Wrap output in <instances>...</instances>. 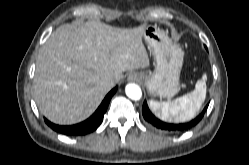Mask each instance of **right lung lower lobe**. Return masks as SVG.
Returning a JSON list of instances; mask_svg holds the SVG:
<instances>
[{"label":"right lung lower lobe","mask_w":249,"mask_h":165,"mask_svg":"<svg viewBox=\"0 0 249 165\" xmlns=\"http://www.w3.org/2000/svg\"><path fill=\"white\" fill-rule=\"evenodd\" d=\"M117 88L112 89L104 98L98 109L95 111V113L88 118L87 120L71 126H59L51 123L47 119H45V122L48 124L49 127H51L54 131L58 133H62L68 136H76V135H85L90 132H93L98 128V126L101 124L104 114L107 110V107L109 105V102L112 98V96L115 94Z\"/></svg>","instance_id":"obj_1"}]
</instances>
